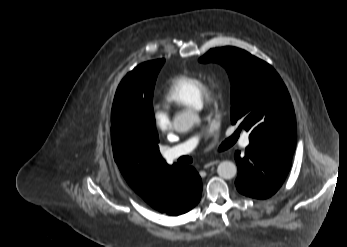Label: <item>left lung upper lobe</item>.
I'll return each instance as SVG.
<instances>
[{
  "instance_id": "1",
  "label": "left lung upper lobe",
  "mask_w": 347,
  "mask_h": 247,
  "mask_svg": "<svg viewBox=\"0 0 347 247\" xmlns=\"http://www.w3.org/2000/svg\"><path fill=\"white\" fill-rule=\"evenodd\" d=\"M200 62L224 66L231 82V122L249 131L250 144L295 147L296 118L288 90L268 63L236 48L209 50Z\"/></svg>"
}]
</instances>
